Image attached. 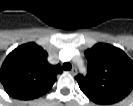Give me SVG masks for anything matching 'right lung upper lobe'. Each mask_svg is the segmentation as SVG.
Masks as SVG:
<instances>
[{
  "mask_svg": "<svg viewBox=\"0 0 133 106\" xmlns=\"http://www.w3.org/2000/svg\"><path fill=\"white\" fill-rule=\"evenodd\" d=\"M47 52L31 42L17 47L4 60L0 81L13 98L30 100L47 93L62 73L60 65L47 61Z\"/></svg>",
  "mask_w": 133,
  "mask_h": 106,
  "instance_id": "cb5924a9",
  "label": "right lung upper lobe"
}]
</instances>
